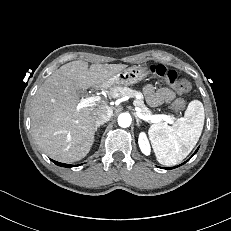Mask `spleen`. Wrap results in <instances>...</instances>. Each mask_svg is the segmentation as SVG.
<instances>
[{
    "label": "spleen",
    "mask_w": 231,
    "mask_h": 231,
    "mask_svg": "<svg viewBox=\"0 0 231 231\" xmlns=\"http://www.w3.org/2000/svg\"><path fill=\"white\" fill-rule=\"evenodd\" d=\"M204 107L199 100L188 104L184 118L174 126L164 123L152 125L148 130L157 161L166 166L180 163L195 147L204 125Z\"/></svg>",
    "instance_id": "obj_1"
}]
</instances>
